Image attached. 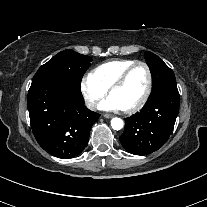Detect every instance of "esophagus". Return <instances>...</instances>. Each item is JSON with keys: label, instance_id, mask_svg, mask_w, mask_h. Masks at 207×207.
Instances as JSON below:
<instances>
[{"label": "esophagus", "instance_id": "obj_1", "mask_svg": "<svg viewBox=\"0 0 207 207\" xmlns=\"http://www.w3.org/2000/svg\"><path fill=\"white\" fill-rule=\"evenodd\" d=\"M105 118H112L113 117V115H111V114H104L103 115Z\"/></svg>", "mask_w": 207, "mask_h": 207}]
</instances>
